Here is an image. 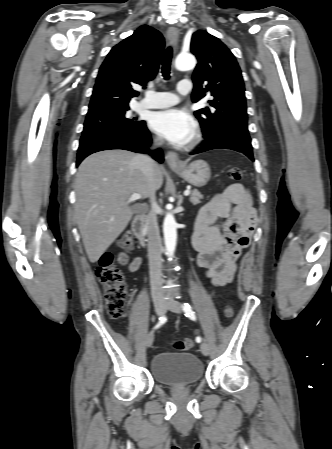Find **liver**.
Segmentation results:
<instances>
[{"mask_svg": "<svg viewBox=\"0 0 332 449\" xmlns=\"http://www.w3.org/2000/svg\"><path fill=\"white\" fill-rule=\"evenodd\" d=\"M125 150L101 151L90 155L78 167L75 179V215L90 262H97L125 230L134 209L128 205L133 193L142 198L161 188L163 173L155 164L149 182Z\"/></svg>", "mask_w": 332, "mask_h": 449, "instance_id": "obj_1", "label": "liver"}]
</instances>
